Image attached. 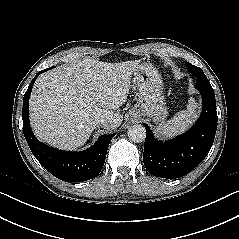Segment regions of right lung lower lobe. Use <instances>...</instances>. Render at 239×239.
<instances>
[{"mask_svg": "<svg viewBox=\"0 0 239 239\" xmlns=\"http://www.w3.org/2000/svg\"><path fill=\"white\" fill-rule=\"evenodd\" d=\"M46 70L37 73L24 95L22 118L25 139L36 159L58 179L66 182L92 179L102 170L109 143L115 134L101 136L92 147L82 152L62 151L40 142L30 128L28 101L36 78Z\"/></svg>", "mask_w": 239, "mask_h": 239, "instance_id": "1", "label": "right lung lower lobe"}]
</instances>
